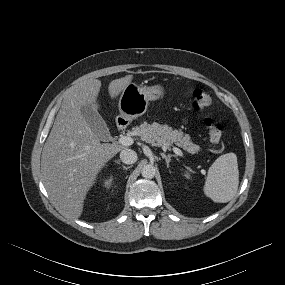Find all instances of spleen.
Here are the masks:
<instances>
[{
  "instance_id": "1",
  "label": "spleen",
  "mask_w": 285,
  "mask_h": 285,
  "mask_svg": "<svg viewBox=\"0 0 285 285\" xmlns=\"http://www.w3.org/2000/svg\"><path fill=\"white\" fill-rule=\"evenodd\" d=\"M239 185L237 157L226 153L218 157L210 166L204 185V193L216 203L229 202Z\"/></svg>"
}]
</instances>
